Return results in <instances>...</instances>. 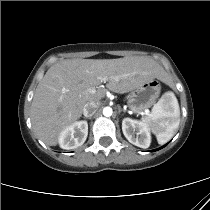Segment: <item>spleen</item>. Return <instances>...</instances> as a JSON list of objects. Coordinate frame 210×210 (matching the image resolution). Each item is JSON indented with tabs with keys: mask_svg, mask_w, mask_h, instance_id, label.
Listing matches in <instances>:
<instances>
[{
	"mask_svg": "<svg viewBox=\"0 0 210 210\" xmlns=\"http://www.w3.org/2000/svg\"><path fill=\"white\" fill-rule=\"evenodd\" d=\"M179 122L180 108L173 92H165L151 113L142 119V123L156 135L159 144H165L173 137Z\"/></svg>",
	"mask_w": 210,
	"mask_h": 210,
	"instance_id": "obj_1",
	"label": "spleen"
}]
</instances>
